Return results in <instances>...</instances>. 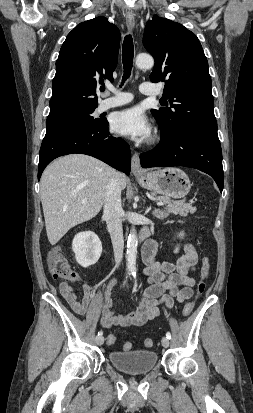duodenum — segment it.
<instances>
[{"instance_id": "410a0bca", "label": "duodenum", "mask_w": 253, "mask_h": 413, "mask_svg": "<svg viewBox=\"0 0 253 413\" xmlns=\"http://www.w3.org/2000/svg\"><path fill=\"white\" fill-rule=\"evenodd\" d=\"M148 230L147 229H143L141 232H140V235H139V239L140 240H144V239H146L147 237H148Z\"/></svg>"}]
</instances>
